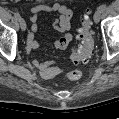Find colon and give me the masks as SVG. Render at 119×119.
Wrapping results in <instances>:
<instances>
[{"instance_id": "colon-1", "label": "colon", "mask_w": 119, "mask_h": 119, "mask_svg": "<svg viewBox=\"0 0 119 119\" xmlns=\"http://www.w3.org/2000/svg\"><path fill=\"white\" fill-rule=\"evenodd\" d=\"M77 37L80 40V44L71 53V59L74 63L86 61L90 57L93 49V34L90 29L89 11L82 18ZM66 77L70 80H79L82 77V72L75 69L68 72Z\"/></svg>"}]
</instances>
